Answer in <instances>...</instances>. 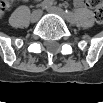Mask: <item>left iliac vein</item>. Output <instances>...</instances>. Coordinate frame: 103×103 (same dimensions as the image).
<instances>
[{
	"mask_svg": "<svg viewBox=\"0 0 103 103\" xmlns=\"http://www.w3.org/2000/svg\"><path fill=\"white\" fill-rule=\"evenodd\" d=\"M47 11L57 14V15L61 16L64 20L69 21V18L66 15V13L59 7L52 6V7L47 8Z\"/></svg>",
	"mask_w": 103,
	"mask_h": 103,
	"instance_id": "4c4485c4",
	"label": "left iliac vein"
}]
</instances>
